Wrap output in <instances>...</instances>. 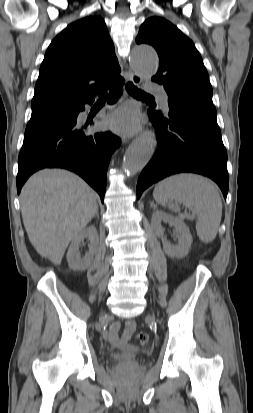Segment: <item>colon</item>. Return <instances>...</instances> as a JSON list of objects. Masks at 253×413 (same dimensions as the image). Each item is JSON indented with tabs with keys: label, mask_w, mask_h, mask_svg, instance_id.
Instances as JSON below:
<instances>
[{
	"label": "colon",
	"mask_w": 253,
	"mask_h": 413,
	"mask_svg": "<svg viewBox=\"0 0 253 413\" xmlns=\"http://www.w3.org/2000/svg\"><path fill=\"white\" fill-rule=\"evenodd\" d=\"M136 338L140 344H146L149 341V335L145 332L138 333Z\"/></svg>",
	"instance_id": "1"
}]
</instances>
